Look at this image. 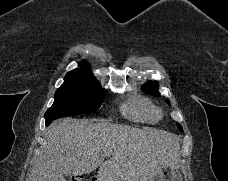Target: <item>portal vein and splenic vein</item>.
<instances>
[{
	"label": "portal vein and splenic vein",
	"mask_w": 228,
	"mask_h": 181,
	"mask_svg": "<svg viewBox=\"0 0 228 181\" xmlns=\"http://www.w3.org/2000/svg\"><path fill=\"white\" fill-rule=\"evenodd\" d=\"M102 157H106V155H102Z\"/></svg>",
	"instance_id": "obj_1"
}]
</instances>
